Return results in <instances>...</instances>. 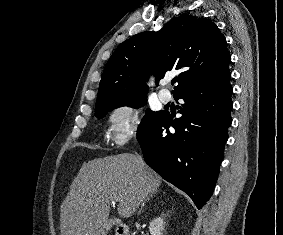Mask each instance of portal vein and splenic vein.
<instances>
[{"mask_svg":"<svg viewBox=\"0 0 283 235\" xmlns=\"http://www.w3.org/2000/svg\"><path fill=\"white\" fill-rule=\"evenodd\" d=\"M119 199H120L119 196H116V195H114V196L112 197V200H113V201H116V202H118Z\"/></svg>","mask_w":283,"mask_h":235,"instance_id":"portal-vein-and-splenic-vein-1","label":"portal vein and splenic vein"}]
</instances>
